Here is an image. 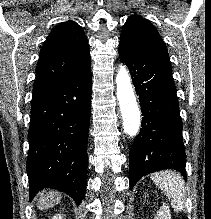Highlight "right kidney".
<instances>
[{
    "instance_id": "ca27d5eb",
    "label": "right kidney",
    "mask_w": 211,
    "mask_h": 219,
    "mask_svg": "<svg viewBox=\"0 0 211 219\" xmlns=\"http://www.w3.org/2000/svg\"><path fill=\"white\" fill-rule=\"evenodd\" d=\"M52 219H64V218H63V215L56 214L55 216L52 217Z\"/></svg>"
}]
</instances>
